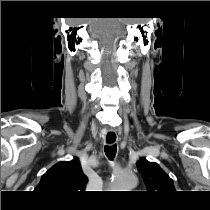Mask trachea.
Instances as JSON below:
<instances>
[{
    "mask_svg": "<svg viewBox=\"0 0 210 210\" xmlns=\"http://www.w3.org/2000/svg\"><path fill=\"white\" fill-rule=\"evenodd\" d=\"M104 151H105L106 156H107L110 160H113V158H114L115 155H116L117 146H116V144L111 145V146H105Z\"/></svg>",
    "mask_w": 210,
    "mask_h": 210,
    "instance_id": "1",
    "label": "trachea"
}]
</instances>
